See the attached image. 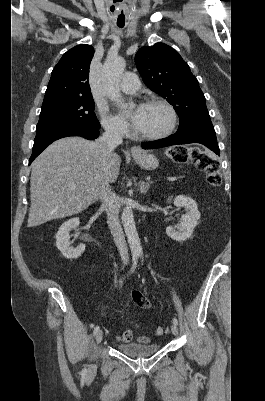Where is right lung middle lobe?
Returning a JSON list of instances; mask_svg holds the SVG:
<instances>
[{
    "label": "right lung middle lobe",
    "instance_id": "1",
    "mask_svg": "<svg viewBox=\"0 0 265 401\" xmlns=\"http://www.w3.org/2000/svg\"><path fill=\"white\" fill-rule=\"evenodd\" d=\"M58 125L100 128L94 113L92 97H78L58 100L42 105L36 132L44 128Z\"/></svg>",
    "mask_w": 265,
    "mask_h": 401
}]
</instances>
